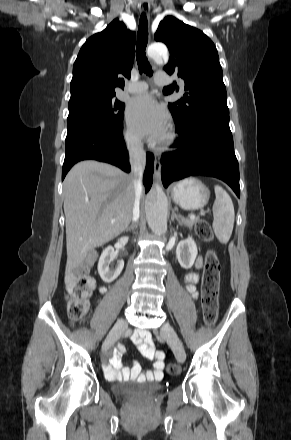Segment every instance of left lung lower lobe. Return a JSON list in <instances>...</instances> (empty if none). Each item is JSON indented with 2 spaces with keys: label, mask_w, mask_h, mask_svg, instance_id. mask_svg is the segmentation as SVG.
I'll list each match as a JSON object with an SVG mask.
<instances>
[{
  "label": "left lung lower lobe",
  "mask_w": 291,
  "mask_h": 440,
  "mask_svg": "<svg viewBox=\"0 0 291 440\" xmlns=\"http://www.w3.org/2000/svg\"><path fill=\"white\" fill-rule=\"evenodd\" d=\"M176 132L180 134L174 144L177 150L164 153L160 160L164 186L188 176H212L226 182L240 197L229 115L203 116Z\"/></svg>",
  "instance_id": "0a47b994"
}]
</instances>
